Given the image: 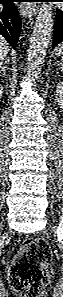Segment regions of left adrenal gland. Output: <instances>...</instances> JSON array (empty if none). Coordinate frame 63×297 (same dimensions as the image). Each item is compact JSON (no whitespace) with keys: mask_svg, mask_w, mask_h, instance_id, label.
<instances>
[{"mask_svg":"<svg viewBox=\"0 0 63 297\" xmlns=\"http://www.w3.org/2000/svg\"><path fill=\"white\" fill-rule=\"evenodd\" d=\"M59 66H60V67L57 69V72H56V73H58V70H61V71H62L63 64H62V63H60V64H59Z\"/></svg>","mask_w":63,"mask_h":297,"instance_id":"left-adrenal-gland-1","label":"left adrenal gland"}]
</instances>
